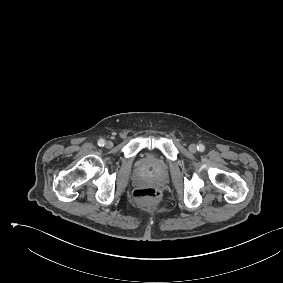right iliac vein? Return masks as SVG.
Listing matches in <instances>:
<instances>
[{"label":"right iliac vein","mask_w":283,"mask_h":283,"mask_svg":"<svg viewBox=\"0 0 283 283\" xmlns=\"http://www.w3.org/2000/svg\"><path fill=\"white\" fill-rule=\"evenodd\" d=\"M106 148H111L113 146V143L111 141H107L105 143Z\"/></svg>","instance_id":"right-iliac-vein-1"}]
</instances>
